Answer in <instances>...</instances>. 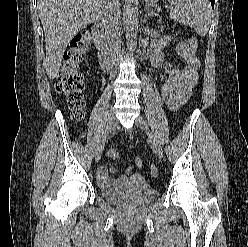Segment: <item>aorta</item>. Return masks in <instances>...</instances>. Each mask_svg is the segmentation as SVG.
Returning a JSON list of instances; mask_svg holds the SVG:
<instances>
[{
  "instance_id": "obj_1",
  "label": "aorta",
  "mask_w": 248,
  "mask_h": 247,
  "mask_svg": "<svg viewBox=\"0 0 248 247\" xmlns=\"http://www.w3.org/2000/svg\"><path fill=\"white\" fill-rule=\"evenodd\" d=\"M136 0H127V22H126V46L130 53H133L137 46L138 31V9L135 5Z\"/></svg>"
}]
</instances>
